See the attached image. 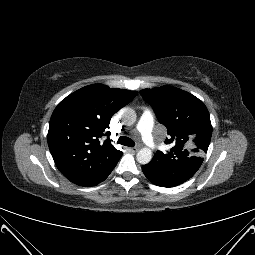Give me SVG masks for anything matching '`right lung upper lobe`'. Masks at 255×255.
Segmentation results:
<instances>
[{
    "instance_id": "right-lung-upper-lobe-1",
    "label": "right lung upper lobe",
    "mask_w": 255,
    "mask_h": 255,
    "mask_svg": "<svg viewBox=\"0 0 255 255\" xmlns=\"http://www.w3.org/2000/svg\"><path fill=\"white\" fill-rule=\"evenodd\" d=\"M136 95V91L92 84L57 105L50 119L48 145L56 166L68 180L91 186L116 166L122 152L109 138L103 144L99 138L109 128L112 115Z\"/></svg>"
}]
</instances>
